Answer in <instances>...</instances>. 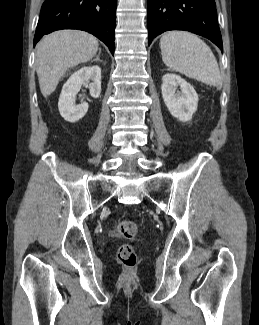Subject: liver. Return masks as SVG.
Listing matches in <instances>:
<instances>
[{
  "mask_svg": "<svg viewBox=\"0 0 259 325\" xmlns=\"http://www.w3.org/2000/svg\"><path fill=\"white\" fill-rule=\"evenodd\" d=\"M97 51V39L84 31L60 30L45 36L36 51V71L43 96L55 91L68 69L90 61Z\"/></svg>",
  "mask_w": 259,
  "mask_h": 325,
  "instance_id": "liver-1",
  "label": "liver"
}]
</instances>
